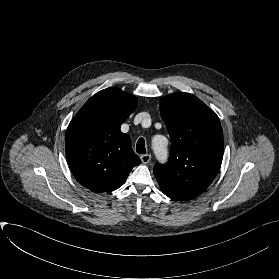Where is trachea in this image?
<instances>
[{
  "label": "trachea",
  "instance_id": "trachea-1",
  "mask_svg": "<svg viewBox=\"0 0 279 279\" xmlns=\"http://www.w3.org/2000/svg\"><path fill=\"white\" fill-rule=\"evenodd\" d=\"M136 152L139 154H146V149H145V142L143 138H140L137 142L136 145Z\"/></svg>",
  "mask_w": 279,
  "mask_h": 279
}]
</instances>
